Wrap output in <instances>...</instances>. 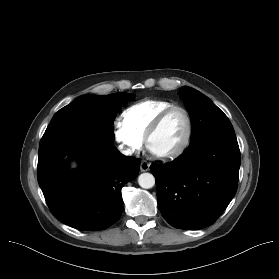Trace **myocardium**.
<instances>
[{
    "mask_svg": "<svg viewBox=\"0 0 279 279\" xmlns=\"http://www.w3.org/2000/svg\"><path fill=\"white\" fill-rule=\"evenodd\" d=\"M181 111L186 119V133L185 136L182 140V142L173 150H170L168 152H164V153H157L154 152L151 147H150V140L153 137V135L158 131V129L160 128V126L162 125L163 121L165 120V118L173 111ZM193 135V121H192V117L189 113V111L179 105H172L168 108H165L163 111H161L156 118L153 120V122L151 123V125L149 126L144 140H145V146L147 148V150L156 158L161 159V160H168V159H173L178 157L179 155H181L186 148L189 146L190 142H191V138Z\"/></svg>",
    "mask_w": 279,
    "mask_h": 279,
    "instance_id": "myocardium-1",
    "label": "myocardium"
}]
</instances>
